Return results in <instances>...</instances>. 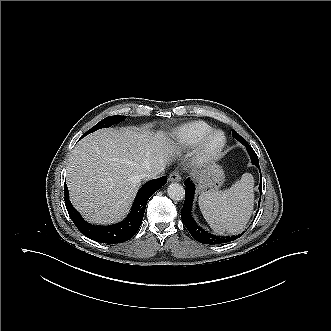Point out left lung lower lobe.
<instances>
[{"label": "left lung lower lobe", "mask_w": 331, "mask_h": 331, "mask_svg": "<svg viewBox=\"0 0 331 331\" xmlns=\"http://www.w3.org/2000/svg\"><path fill=\"white\" fill-rule=\"evenodd\" d=\"M235 139H237L239 142H241L243 145H245V147L247 148L248 151H250L251 146L241 137V136H233ZM252 164L256 165L259 169V163H253ZM184 185L186 186V190H185V202H184V206L181 210V218L183 223L185 224L186 228L188 229V231L190 232V234L192 235V237L199 241L200 243L203 244H211V245H215V244H223V243H227L230 241H233L235 239H237L238 237H240L242 234H239L238 236H227V237H220V236H216V235H212L208 232H206L205 230L201 229L193 220L192 216H191V207H192V202H193V197H194V192H195V186L194 184L187 179L184 182ZM259 189L261 191V184L259 186Z\"/></svg>", "instance_id": "left-lung-lower-lobe-1"}]
</instances>
